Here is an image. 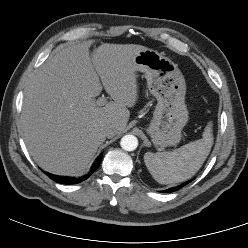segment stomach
<instances>
[{"label": "stomach", "instance_id": "obj_1", "mask_svg": "<svg viewBox=\"0 0 248 248\" xmlns=\"http://www.w3.org/2000/svg\"><path fill=\"white\" fill-rule=\"evenodd\" d=\"M135 64L145 74L148 89L157 99L147 133L157 147L177 145L189 118L184 76L177 64L153 49L139 52Z\"/></svg>", "mask_w": 248, "mask_h": 248}]
</instances>
